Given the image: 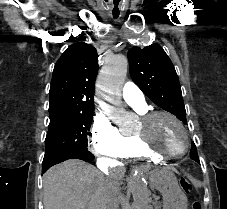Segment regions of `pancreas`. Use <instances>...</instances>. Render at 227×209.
<instances>
[{
    "label": "pancreas",
    "mask_w": 227,
    "mask_h": 209,
    "mask_svg": "<svg viewBox=\"0 0 227 209\" xmlns=\"http://www.w3.org/2000/svg\"><path fill=\"white\" fill-rule=\"evenodd\" d=\"M157 199H159V197H157ZM152 206L154 207V209H160L159 207L161 205L159 203H154Z\"/></svg>",
    "instance_id": "obj_1"
}]
</instances>
